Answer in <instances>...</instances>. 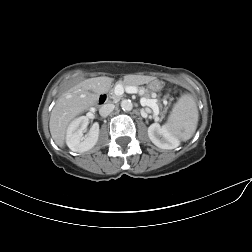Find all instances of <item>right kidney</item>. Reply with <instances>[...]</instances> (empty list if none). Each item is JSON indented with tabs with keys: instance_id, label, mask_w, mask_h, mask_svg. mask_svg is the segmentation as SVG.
<instances>
[{
	"instance_id": "ca27d5eb",
	"label": "right kidney",
	"mask_w": 252,
	"mask_h": 252,
	"mask_svg": "<svg viewBox=\"0 0 252 252\" xmlns=\"http://www.w3.org/2000/svg\"><path fill=\"white\" fill-rule=\"evenodd\" d=\"M88 118L81 116L75 119L68 127L66 134V144L73 152H85L92 149L99 137V124L95 122L89 132L84 136Z\"/></svg>"
}]
</instances>
